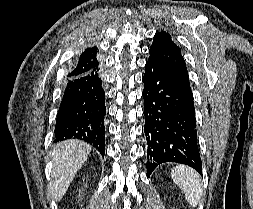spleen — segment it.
Masks as SVG:
<instances>
[{
	"label": "spleen",
	"instance_id": "obj_1",
	"mask_svg": "<svg viewBox=\"0 0 253 209\" xmlns=\"http://www.w3.org/2000/svg\"><path fill=\"white\" fill-rule=\"evenodd\" d=\"M172 178L183 190L186 200L193 207L197 206L202 193L200 181L198 175L191 168L186 166H176L172 170Z\"/></svg>",
	"mask_w": 253,
	"mask_h": 209
}]
</instances>
